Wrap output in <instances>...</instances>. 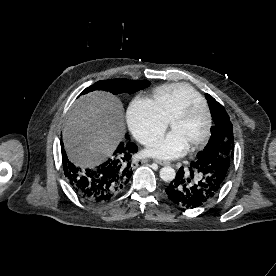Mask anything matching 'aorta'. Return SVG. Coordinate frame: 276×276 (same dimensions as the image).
<instances>
[{"instance_id": "762f6f07", "label": "aorta", "mask_w": 276, "mask_h": 276, "mask_svg": "<svg viewBox=\"0 0 276 276\" xmlns=\"http://www.w3.org/2000/svg\"><path fill=\"white\" fill-rule=\"evenodd\" d=\"M175 170L170 166H165L160 170V178L165 182H171L175 179Z\"/></svg>"}]
</instances>
